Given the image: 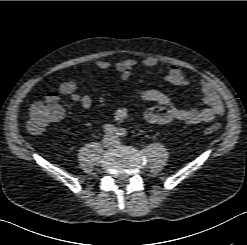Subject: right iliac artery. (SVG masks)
Returning <instances> with one entry per match:
<instances>
[{"label":"right iliac artery","instance_id":"1","mask_svg":"<svg viewBox=\"0 0 247 245\" xmlns=\"http://www.w3.org/2000/svg\"><path fill=\"white\" fill-rule=\"evenodd\" d=\"M103 129L106 133H114V132H117V129L114 125H111V124H105L103 126Z\"/></svg>","mask_w":247,"mask_h":245}]
</instances>
